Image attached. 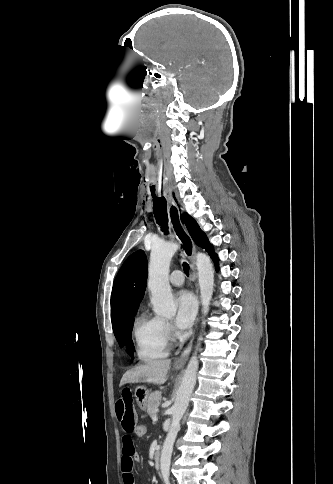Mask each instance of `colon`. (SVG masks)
<instances>
[{
    "mask_svg": "<svg viewBox=\"0 0 333 484\" xmlns=\"http://www.w3.org/2000/svg\"><path fill=\"white\" fill-rule=\"evenodd\" d=\"M149 428L144 423H139L134 429V435L138 439L144 438L148 434Z\"/></svg>",
    "mask_w": 333,
    "mask_h": 484,
    "instance_id": "obj_1",
    "label": "colon"
}]
</instances>
